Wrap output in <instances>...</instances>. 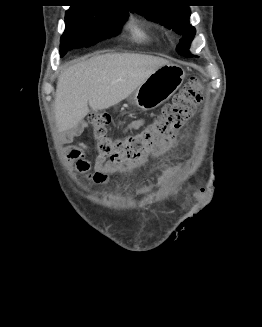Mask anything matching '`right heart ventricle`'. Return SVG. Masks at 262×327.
<instances>
[{
    "label": "right heart ventricle",
    "instance_id": "obj_1",
    "mask_svg": "<svg viewBox=\"0 0 262 327\" xmlns=\"http://www.w3.org/2000/svg\"><path fill=\"white\" fill-rule=\"evenodd\" d=\"M128 30L132 39L137 42H146L149 40L147 32L135 22L129 24Z\"/></svg>",
    "mask_w": 262,
    "mask_h": 327
}]
</instances>
